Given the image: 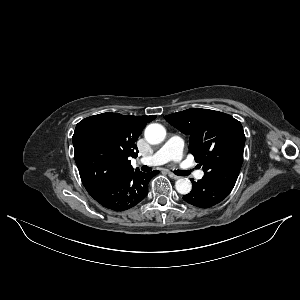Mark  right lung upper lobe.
<instances>
[{
  "mask_svg": "<svg viewBox=\"0 0 300 300\" xmlns=\"http://www.w3.org/2000/svg\"><path fill=\"white\" fill-rule=\"evenodd\" d=\"M156 115L133 116L119 113H102L83 119L79 125L95 127L105 140L120 168V176L133 172L130 157H137L136 140L146 123Z\"/></svg>",
  "mask_w": 300,
  "mask_h": 300,
  "instance_id": "right-lung-upper-lobe-1",
  "label": "right lung upper lobe"
}]
</instances>
